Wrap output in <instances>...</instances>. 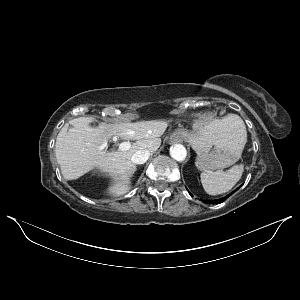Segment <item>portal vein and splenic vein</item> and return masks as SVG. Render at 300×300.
<instances>
[{"label":"portal vein and splenic vein","instance_id":"18ae733b","mask_svg":"<svg viewBox=\"0 0 300 300\" xmlns=\"http://www.w3.org/2000/svg\"><path fill=\"white\" fill-rule=\"evenodd\" d=\"M130 147H131L130 142H122V143L119 144V149L122 150V151L129 150Z\"/></svg>","mask_w":300,"mask_h":300}]
</instances>
